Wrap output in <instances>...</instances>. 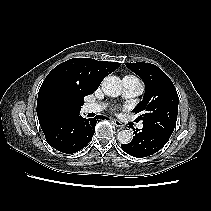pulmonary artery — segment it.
Returning <instances> with one entry per match:
<instances>
[{
	"instance_id": "obj_1",
	"label": "pulmonary artery",
	"mask_w": 211,
	"mask_h": 211,
	"mask_svg": "<svg viewBox=\"0 0 211 211\" xmlns=\"http://www.w3.org/2000/svg\"><path fill=\"white\" fill-rule=\"evenodd\" d=\"M122 96L126 99L134 98L139 96L144 89L143 83L141 80L135 76L127 75L122 79ZM105 108L104 104L100 103H89L86 105L85 109L87 112H100ZM142 124H138V128L141 129Z\"/></svg>"
}]
</instances>
